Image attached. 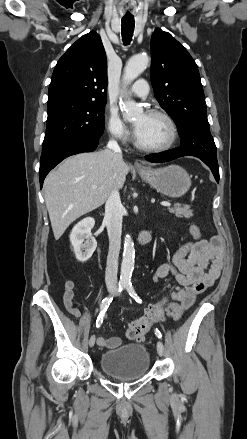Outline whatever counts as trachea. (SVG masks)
Wrapping results in <instances>:
<instances>
[{
  "label": "trachea",
  "instance_id": "trachea-1",
  "mask_svg": "<svg viewBox=\"0 0 247 439\" xmlns=\"http://www.w3.org/2000/svg\"><path fill=\"white\" fill-rule=\"evenodd\" d=\"M133 32H134V17L132 16L123 17L121 34H122V40L125 45H128L131 42Z\"/></svg>",
  "mask_w": 247,
  "mask_h": 439
}]
</instances>
